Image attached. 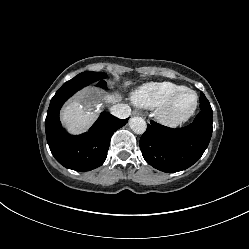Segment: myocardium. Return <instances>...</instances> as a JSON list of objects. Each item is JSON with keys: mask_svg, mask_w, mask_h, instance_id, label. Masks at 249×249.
Instances as JSON below:
<instances>
[{"mask_svg": "<svg viewBox=\"0 0 249 249\" xmlns=\"http://www.w3.org/2000/svg\"><path fill=\"white\" fill-rule=\"evenodd\" d=\"M184 92H189L193 95V103L186 111L182 113H176L173 111V105L178 96ZM197 106L198 95L196 91L188 87H181L180 89L171 93L168 98L159 107H157L156 116L158 120L165 125L178 126L193 116Z\"/></svg>", "mask_w": 249, "mask_h": 249, "instance_id": "obj_1", "label": "myocardium"}]
</instances>
